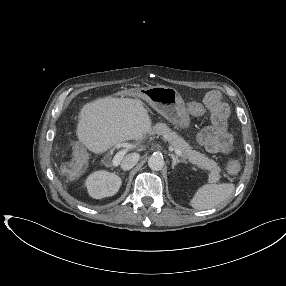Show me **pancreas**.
Masks as SVG:
<instances>
[{
	"instance_id": "1",
	"label": "pancreas",
	"mask_w": 286,
	"mask_h": 286,
	"mask_svg": "<svg viewBox=\"0 0 286 286\" xmlns=\"http://www.w3.org/2000/svg\"><path fill=\"white\" fill-rule=\"evenodd\" d=\"M149 134H157L166 139L172 146L173 149H179L183 156L188 159L191 163L203 170L210 171L208 180L210 182H217L220 179L221 169L218 164L206 157L204 154L192 150V147L176 132L172 131L166 124L158 123L151 129Z\"/></svg>"
}]
</instances>
